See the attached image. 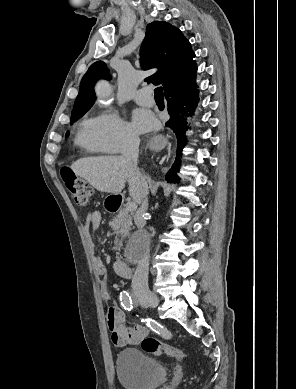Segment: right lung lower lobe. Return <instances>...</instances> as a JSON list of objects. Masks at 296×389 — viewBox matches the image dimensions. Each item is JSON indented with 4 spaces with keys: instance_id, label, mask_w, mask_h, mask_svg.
Returning <instances> with one entry per match:
<instances>
[{
    "instance_id": "1",
    "label": "right lung lower lobe",
    "mask_w": 296,
    "mask_h": 389,
    "mask_svg": "<svg viewBox=\"0 0 296 389\" xmlns=\"http://www.w3.org/2000/svg\"><path fill=\"white\" fill-rule=\"evenodd\" d=\"M168 102V112L170 115L166 126L170 127L177 138V153L171 169L166 174V180L177 182L182 149L186 145L184 132L188 129V122L185 117L192 116L198 102V90L195 83L176 82L164 90Z\"/></svg>"
}]
</instances>
